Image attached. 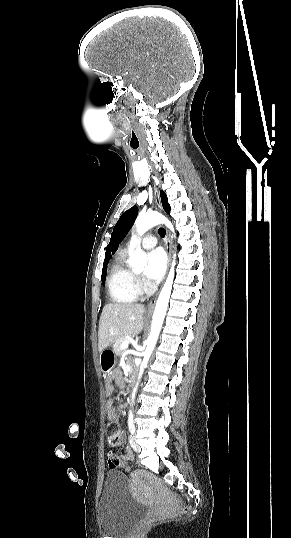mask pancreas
<instances>
[{
  "mask_svg": "<svg viewBox=\"0 0 291 538\" xmlns=\"http://www.w3.org/2000/svg\"><path fill=\"white\" fill-rule=\"evenodd\" d=\"M126 341L127 339L120 338L113 344V349L117 355H122L124 353V350L121 349V344Z\"/></svg>",
  "mask_w": 291,
  "mask_h": 538,
  "instance_id": "obj_1",
  "label": "pancreas"
}]
</instances>
